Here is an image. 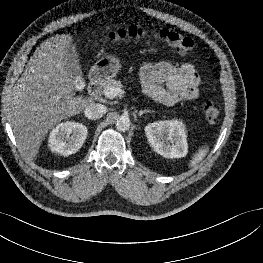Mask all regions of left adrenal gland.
<instances>
[{
	"instance_id": "a2214340",
	"label": "left adrenal gland",
	"mask_w": 263,
	"mask_h": 263,
	"mask_svg": "<svg viewBox=\"0 0 263 263\" xmlns=\"http://www.w3.org/2000/svg\"><path fill=\"white\" fill-rule=\"evenodd\" d=\"M151 112H153V111H151V110H140L139 113H138V115L141 116V115H143L144 113H151Z\"/></svg>"
}]
</instances>
